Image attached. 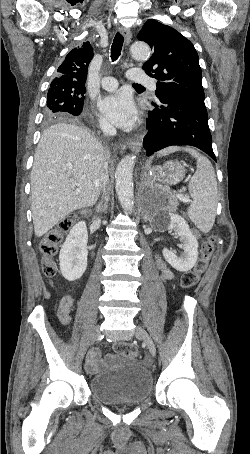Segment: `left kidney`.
Returning <instances> with one entry per match:
<instances>
[{"mask_svg": "<svg viewBox=\"0 0 250 454\" xmlns=\"http://www.w3.org/2000/svg\"><path fill=\"white\" fill-rule=\"evenodd\" d=\"M170 223L168 228L173 230L183 244V254L177 256L173 251L166 248L162 253L166 261L176 270L185 272L193 268L198 258V241L192 233L186 220L173 212L168 213Z\"/></svg>", "mask_w": 250, "mask_h": 454, "instance_id": "1", "label": "left kidney"}]
</instances>
